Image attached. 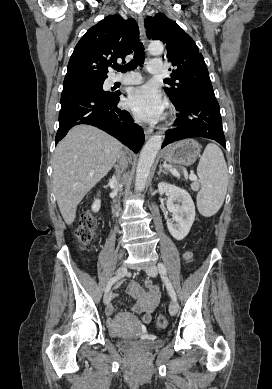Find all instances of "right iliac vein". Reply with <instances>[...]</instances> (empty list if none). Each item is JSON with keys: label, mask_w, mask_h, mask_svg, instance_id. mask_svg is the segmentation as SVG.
I'll list each match as a JSON object with an SVG mask.
<instances>
[{"label": "right iliac vein", "mask_w": 272, "mask_h": 389, "mask_svg": "<svg viewBox=\"0 0 272 389\" xmlns=\"http://www.w3.org/2000/svg\"><path fill=\"white\" fill-rule=\"evenodd\" d=\"M126 273H127V266L126 265H122V266H120L117 269L115 277L122 278V277L125 276ZM110 296H111L110 292H108V293H106L104 295V299L103 300H104V303L106 305H108L110 303Z\"/></svg>", "instance_id": "right-iliac-vein-1"}]
</instances>
